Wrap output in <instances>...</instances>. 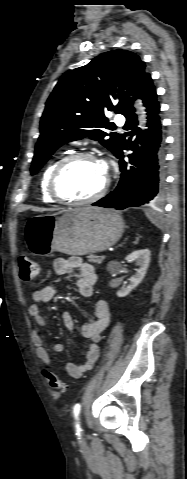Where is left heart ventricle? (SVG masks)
I'll use <instances>...</instances> for the list:
<instances>
[{
	"label": "left heart ventricle",
	"instance_id": "1",
	"mask_svg": "<svg viewBox=\"0 0 187 479\" xmlns=\"http://www.w3.org/2000/svg\"><path fill=\"white\" fill-rule=\"evenodd\" d=\"M105 177L106 173L99 162L92 159H79L62 172L58 181V190L66 197L87 198L101 188Z\"/></svg>",
	"mask_w": 187,
	"mask_h": 479
}]
</instances>
